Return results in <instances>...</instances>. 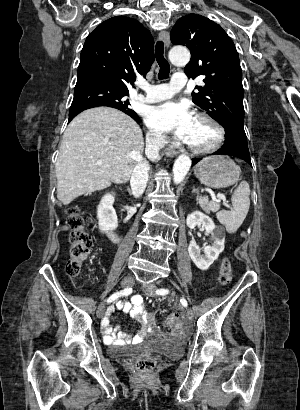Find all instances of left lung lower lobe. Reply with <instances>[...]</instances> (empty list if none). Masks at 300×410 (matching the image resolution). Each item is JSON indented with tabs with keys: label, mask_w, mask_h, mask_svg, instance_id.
Here are the masks:
<instances>
[{
	"label": "left lung lower lobe",
	"mask_w": 300,
	"mask_h": 410,
	"mask_svg": "<svg viewBox=\"0 0 300 410\" xmlns=\"http://www.w3.org/2000/svg\"><path fill=\"white\" fill-rule=\"evenodd\" d=\"M224 128L226 132L224 145L221 149L214 152L213 155L223 154L238 157L252 166L244 127L228 124ZM199 161L200 158L192 159V165H195Z\"/></svg>",
	"instance_id": "0a47b994"
}]
</instances>
